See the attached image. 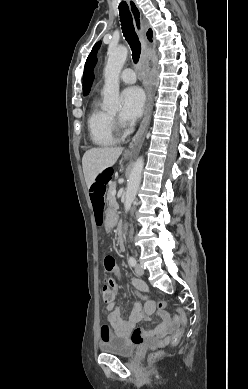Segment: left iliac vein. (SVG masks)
Instances as JSON below:
<instances>
[{
  "label": "left iliac vein",
  "mask_w": 248,
  "mask_h": 389,
  "mask_svg": "<svg viewBox=\"0 0 248 389\" xmlns=\"http://www.w3.org/2000/svg\"><path fill=\"white\" fill-rule=\"evenodd\" d=\"M135 273H136L137 275H139V276H142V275L144 274V269H143L142 265L137 264V265L135 266Z\"/></svg>",
  "instance_id": "1"
}]
</instances>
